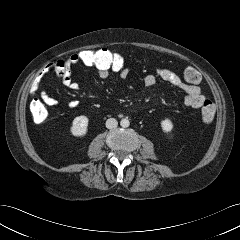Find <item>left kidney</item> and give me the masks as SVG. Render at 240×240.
Returning a JSON list of instances; mask_svg holds the SVG:
<instances>
[{"instance_id": "1", "label": "left kidney", "mask_w": 240, "mask_h": 240, "mask_svg": "<svg viewBox=\"0 0 240 240\" xmlns=\"http://www.w3.org/2000/svg\"><path fill=\"white\" fill-rule=\"evenodd\" d=\"M161 127L165 133H170L173 129V122L170 119L162 120Z\"/></svg>"}]
</instances>
